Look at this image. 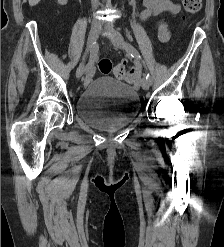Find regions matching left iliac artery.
<instances>
[{
	"mask_svg": "<svg viewBox=\"0 0 224 247\" xmlns=\"http://www.w3.org/2000/svg\"><path fill=\"white\" fill-rule=\"evenodd\" d=\"M125 45H126V50L129 52V54L132 57H135L137 59H141V56H140L139 52L131 44L126 43ZM145 78L148 80V82L150 84H152V78H151L149 73L145 74Z\"/></svg>",
	"mask_w": 224,
	"mask_h": 247,
	"instance_id": "left-iliac-artery-1",
	"label": "left iliac artery"
}]
</instances>
